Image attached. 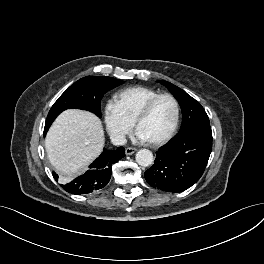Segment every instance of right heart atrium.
Instances as JSON below:
<instances>
[{"mask_svg": "<svg viewBox=\"0 0 264 264\" xmlns=\"http://www.w3.org/2000/svg\"><path fill=\"white\" fill-rule=\"evenodd\" d=\"M103 119L110 137L118 144L124 142L134 125V122L128 119L114 102L105 105Z\"/></svg>", "mask_w": 264, "mask_h": 264, "instance_id": "1", "label": "right heart atrium"}]
</instances>
